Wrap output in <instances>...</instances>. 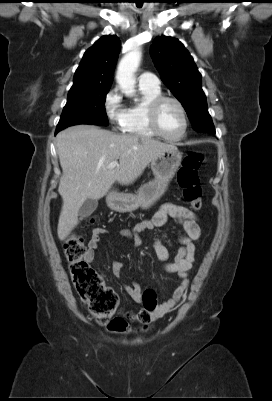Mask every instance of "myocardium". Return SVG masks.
Returning a JSON list of instances; mask_svg holds the SVG:
<instances>
[{
	"label": "myocardium",
	"instance_id": "1",
	"mask_svg": "<svg viewBox=\"0 0 272 401\" xmlns=\"http://www.w3.org/2000/svg\"><path fill=\"white\" fill-rule=\"evenodd\" d=\"M167 102L175 103L179 107V109L182 113V116H183V120H184L183 132L177 137H170V136L166 135L162 131L160 124H159L160 110L163 107V105ZM148 122H149V125H150L152 131L157 136H159L162 139L169 141V142H177V141H181L182 139H184L185 136L187 135L188 128H189L188 114H187V111H186L183 103L175 97L165 96V95H161V96L155 98L150 103V105L148 107Z\"/></svg>",
	"mask_w": 272,
	"mask_h": 401
}]
</instances>
